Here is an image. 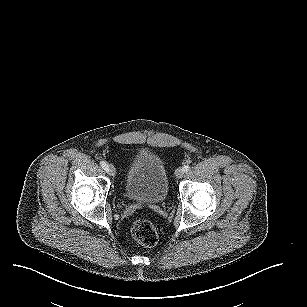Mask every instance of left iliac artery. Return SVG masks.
<instances>
[{
	"label": "left iliac artery",
	"instance_id": "44dca946",
	"mask_svg": "<svg viewBox=\"0 0 307 307\" xmlns=\"http://www.w3.org/2000/svg\"><path fill=\"white\" fill-rule=\"evenodd\" d=\"M189 169H190V166H189V165H185V166L183 167L184 172H187Z\"/></svg>",
	"mask_w": 307,
	"mask_h": 307
}]
</instances>
